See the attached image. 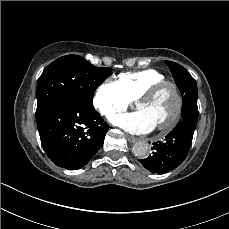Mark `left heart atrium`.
Wrapping results in <instances>:
<instances>
[{"mask_svg": "<svg viewBox=\"0 0 229 229\" xmlns=\"http://www.w3.org/2000/svg\"><path fill=\"white\" fill-rule=\"evenodd\" d=\"M111 122L136 134L148 133L155 127L151 119L142 111L117 115L111 119Z\"/></svg>", "mask_w": 229, "mask_h": 229, "instance_id": "left-heart-atrium-1", "label": "left heart atrium"}]
</instances>
